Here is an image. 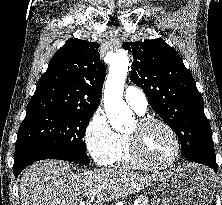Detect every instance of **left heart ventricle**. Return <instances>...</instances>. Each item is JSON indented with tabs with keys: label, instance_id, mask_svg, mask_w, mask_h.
Here are the masks:
<instances>
[{
	"label": "left heart ventricle",
	"instance_id": "obj_1",
	"mask_svg": "<svg viewBox=\"0 0 222 205\" xmlns=\"http://www.w3.org/2000/svg\"><path fill=\"white\" fill-rule=\"evenodd\" d=\"M136 129V123L130 129ZM142 148L145 155L155 162H166L174 153V142L170 134L160 125H152L142 133Z\"/></svg>",
	"mask_w": 222,
	"mask_h": 205
}]
</instances>
